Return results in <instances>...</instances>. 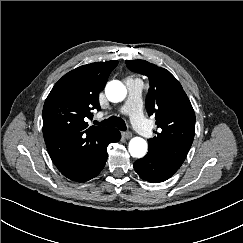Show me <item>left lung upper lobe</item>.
I'll use <instances>...</instances> for the list:
<instances>
[{
  "label": "left lung upper lobe",
  "instance_id": "5c2ea615",
  "mask_svg": "<svg viewBox=\"0 0 243 243\" xmlns=\"http://www.w3.org/2000/svg\"><path fill=\"white\" fill-rule=\"evenodd\" d=\"M126 65L149 78L146 108L149 116H155L159 130L148 140V153L180 167L195 135V114L186 93L179 81L164 68L145 60H126Z\"/></svg>",
  "mask_w": 243,
  "mask_h": 243
}]
</instances>
